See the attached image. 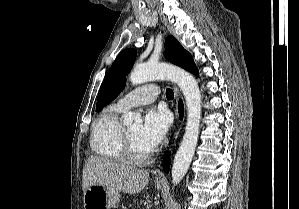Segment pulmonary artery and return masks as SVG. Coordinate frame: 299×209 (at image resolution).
<instances>
[{"instance_id":"obj_1","label":"pulmonary artery","mask_w":299,"mask_h":209,"mask_svg":"<svg viewBox=\"0 0 299 209\" xmlns=\"http://www.w3.org/2000/svg\"><path fill=\"white\" fill-rule=\"evenodd\" d=\"M160 90L156 84H147L135 88L118 99L116 105L122 110H128L136 106L150 104L156 100Z\"/></svg>"}]
</instances>
